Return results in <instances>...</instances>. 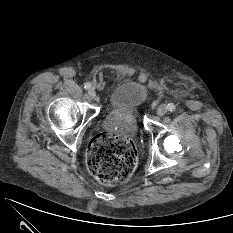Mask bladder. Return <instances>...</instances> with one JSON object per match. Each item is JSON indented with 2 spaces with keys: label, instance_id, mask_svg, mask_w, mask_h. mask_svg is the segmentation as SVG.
Masks as SVG:
<instances>
[{
  "label": "bladder",
  "instance_id": "obj_1",
  "mask_svg": "<svg viewBox=\"0 0 233 233\" xmlns=\"http://www.w3.org/2000/svg\"><path fill=\"white\" fill-rule=\"evenodd\" d=\"M149 96V91L144 83L129 79L118 84L109 96L111 110L125 111L130 116V124L126 127L136 130L137 111Z\"/></svg>",
  "mask_w": 233,
  "mask_h": 233
}]
</instances>
